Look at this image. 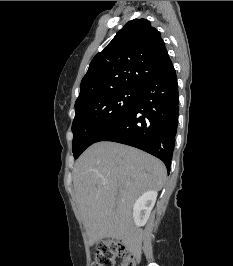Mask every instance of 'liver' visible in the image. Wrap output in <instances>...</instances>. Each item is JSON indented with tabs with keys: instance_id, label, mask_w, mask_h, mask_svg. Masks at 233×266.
<instances>
[{
	"instance_id": "1",
	"label": "liver",
	"mask_w": 233,
	"mask_h": 266,
	"mask_svg": "<svg viewBox=\"0 0 233 266\" xmlns=\"http://www.w3.org/2000/svg\"><path fill=\"white\" fill-rule=\"evenodd\" d=\"M165 179L164 163L137 148L104 141L86 149L74 165L73 183L90 244L112 238L133 247L139 241L134 202L145 191L162 189Z\"/></svg>"
}]
</instances>
